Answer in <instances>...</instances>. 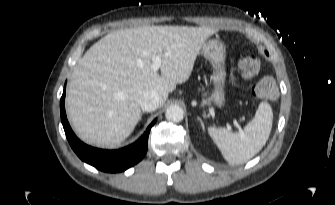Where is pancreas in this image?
<instances>
[{
	"instance_id": "cf45deb5",
	"label": "pancreas",
	"mask_w": 335,
	"mask_h": 205,
	"mask_svg": "<svg viewBox=\"0 0 335 205\" xmlns=\"http://www.w3.org/2000/svg\"><path fill=\"white\" fill-rule=\"evenodd\" d=\"M207 103H209V100L203 101V104H207Z\"/></svg>"
}]
</instances>
